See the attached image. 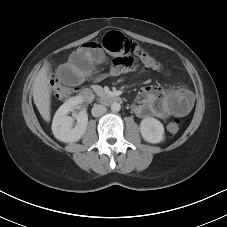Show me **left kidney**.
<instances>
[{"mask_svg":"<svg viewBox=\"0 0 227 227\" xmlns=\"http://www.w3.org/2000/svg\"><path fill=\"white\" fill-rule=\"evenodd\" d=\"M143 139L149 143H160L164 140V126L155 118H144L140 123Z\"/></svg>","mask_w":227,"mask_h":227,"instance_id":"left-kidney-1","label":"left kidney"}]
</instances>
